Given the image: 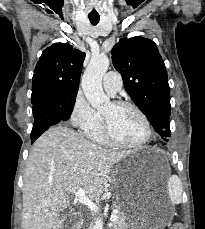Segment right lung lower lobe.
Wrapping results in <instances>:
<instances>
[{
    "label": "right lung lower lobe",
    "instance_id": "98d812e1",
    "mask_svg": "<svg viewBox=\"0 0 205 229\" xmlns=\"http://www.w3.org/2000/svg\"><path fill=\"white\" fill-rule=\"evenodd\" d=\"M75 100L67 94H56L33 104L34 125L31 132L33 143L51 125L68 120Z\"/></svg>",
    "mask_w": 205,
    "mask_h": 229
}]
</instances>
